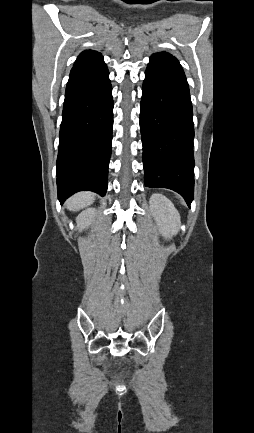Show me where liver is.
Segmentation results:
<instances>
[{"label": "liver", "mask_w": 254, "mask_h": 433, "mask_svg": "<svg viewBox=\"0 0 254 433\" xmlns=\"http://www.w3.org/2000/svg\"><path fill=\"white\" fill-rule=\"evenodd\" d=\"M94 201V194L91 192H81L74 195L68 200L67 208L71 211H77L87 207Z\"/></svg>", "instance_id": "liver-1"}]
</instances>
